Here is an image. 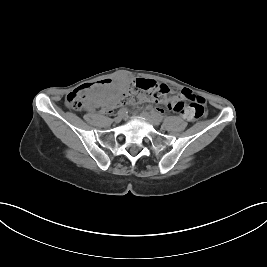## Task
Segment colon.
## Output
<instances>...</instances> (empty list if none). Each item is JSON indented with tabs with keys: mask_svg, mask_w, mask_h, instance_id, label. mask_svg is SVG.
Instances as JSON below:
<instances>
[{
	"mask_svg": "<svg viewBox=\"0 0 267 267\" xmlns=\"http://www.w3.org/2000/svg\"><path fill=\"white\" fill-rule=\"evenodd\" d=\"M184 101L189 105L185 106L184 102H180L174 107V111L184 118L196 120L206 115L205 99L194 94L189 89L181 92ZM153 101L159 104H169V88L164 84H157L149 79H136L130 87L122 94L121 100L113 99L107 104V108L113 107L117 102L124 104L136 103L138 101ZM66 104L73 110H82L87 105V97L84 94V88L80 87L70 92L66 97Z\"/></svg>",
	"mask_w": 267,
	"mask_h": 267,
	"instance_id": "colon-1",
	"label": "colon"
}]
</instances>
